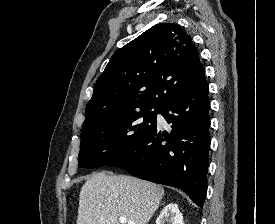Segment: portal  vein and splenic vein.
Segmentation results:
<instances>
[{"instance_id":"1","label":"portal vein and splenic vein","mask_w":275,"mask_h":224,"mask_svg":"<svg viewBox=\"0 0 275 224\" xmlns=\"http://www.w3.org/2000/svg\"><path fill=\"white\" fill-rule=\"evenodd\" d=\"M118 220H119V222H120L121 224H125V223L128 222L126 217H119ZM128 224H134V222L129 221Z\"/></svg>"}]
</instances>
